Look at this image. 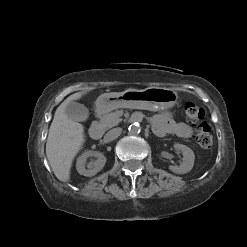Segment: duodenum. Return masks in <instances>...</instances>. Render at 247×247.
<instances>
[{
	"mask_svg": "<svg viewBox=\"0 0 247 247\" xmlns=\"http://www.w3.org/2000/svg\"><path fill=\"white\" fill-rule=\"evenodd\" d=\"M89 135L94 140H99L103 135V127L99 123H94L89 129Z\"/></svg>",
	"mask_w": 247,
	"mask_h": 247,
	"instance_id": "1",
	"label": "duodenum"
}]
</instances>
